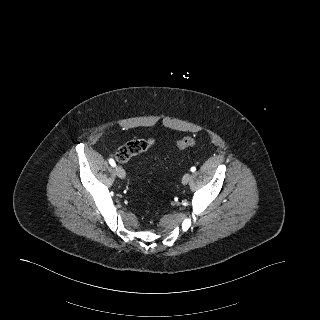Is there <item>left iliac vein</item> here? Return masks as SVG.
Returning <instances> with one entry per match:
<instances>
[{"instance_id": "obj_1", "label": "left iliac vein", "mask_w": 320, "mask_h": 320, "mask_svg": "<svg viewBox=\"0 0 320 320\" xmlns=\"http://www.w3.org/2000/svg\"><path fill=\"white\" fill-rule=\"evenodd\" d=\"M190 180H191V174L186 173L182 178V184L186 185L187 183H189Z\"/></svg>"}]
</instances>
